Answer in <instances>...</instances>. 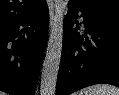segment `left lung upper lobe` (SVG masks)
Listing matches in <instances>:
<instances>
[{
    "label": "left lung upper lobe",
    "instance_id": "obj_1",
    "mask_svg": "<svg viewBox=\"0 0 119 95\" xmlns=\"http://www.w3.org/2000/svg\"><path fill=\"white\" fill-rule=\"evenodd\" d=\"M69 3L96 15L119 20V0H70Z\"/></svg>",
    "mask_w": 119,
    "mask_h": 95
}]
</instances>
